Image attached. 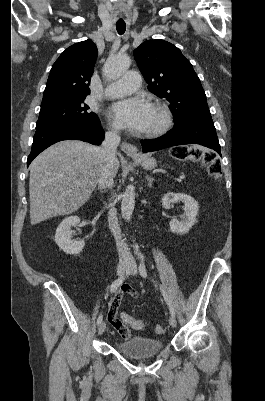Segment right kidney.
I'll return each instance as SVG.
<instances>
[{"instance_id":"1","label":"right kidney","mask_w":265,"mask_h":401,"mask_svg":"<svg viewBox=\"0 0 265 401\" xmlns=\"http://www.w3.org/2000/svg\"><path fill=\"white\" fill-rule=\"evenodd\" d=\"M79 223V217H66V219L60 223L59 227H57L55 243H57L58 247H60L64 253H67V255H79L82 249H84V241H72L71 239L73 233L71 227H76Z\"/></svg>"}]
</instances>
